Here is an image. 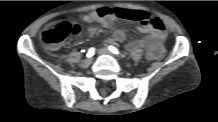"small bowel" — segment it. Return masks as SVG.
<instances>
[{
	"label": "small bowel",
	"mask_w": 218,
	"mask_h": 122,
	"mask_svg": "<svg viewBox=\"0 0 218 122\" xmlns=\"http://www.w3.org/2000/svg\"><path fill=\"white\" fill-rule=\"evenodd\" d=\"M115 8L100 7L80 17L83 22L86 23H98L105 28L113 26L119 16L115 13ZM138 31L146 36L142 39L132 41L128 44L130 51H136L144 49L146 51V57L150 60H154V54L157 53L158 48H163V43L166 40V32L163 27L155 28L151 25L142 24L138 27ZM98 32L97 26H91L87 30V34L92 37ZM126 38L124 30L117 29L113 34V40L122 42Z\"/></svg>",
	"instance_id": "c3829d8e"
}]
</instances>
